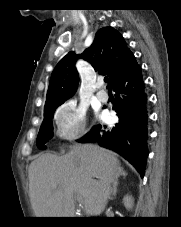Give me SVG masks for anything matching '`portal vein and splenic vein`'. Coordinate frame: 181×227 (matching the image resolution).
Returning a JSON list of instances; mask_svg holds the SVG:
<instances>
[{
	"instance_id": "obj_1",
	"label": "portal vein and splenic vein",
	"mask_w": 181,
	"mask_h": 227,
	"mask_svg": "<svg viewBox=\"0 0 181 227\" xmlns=\"http://www.w3.org/2000/svg\"><path fill=\"white\" fill-rule=\"evenodd\" d=\"M79 202H80V203H83L81 199H79Z\"/></svg>"
}]
</instances>
